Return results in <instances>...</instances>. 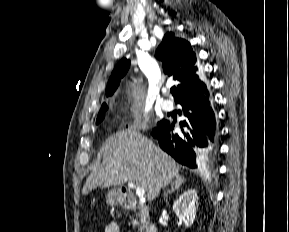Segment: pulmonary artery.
<instances>
[{
  "instance_id": "pulmonary-artery-1",
  "label": "pulmonary artery",
  "mask_w": 289,
  "mask_h": 232,
  "mask_svg": "<svg viewBox=\"0 0 289 232\" xmlns=\"http://www.w3.org/2000/svg\"><path fill=\"white\" fill-rule=\"evenodd\" d=\"M161 107L165 110V111H171L173 110L174 104L172 102V100L170 99H164L161 103Z\"/></svg>"
}]
</instances>
